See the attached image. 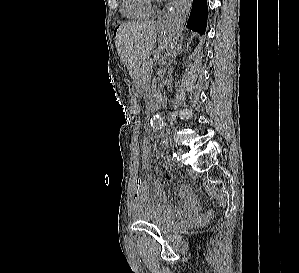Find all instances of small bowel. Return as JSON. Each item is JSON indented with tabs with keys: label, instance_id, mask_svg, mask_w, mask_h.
I'll use <instances>...</instances> for the list:
<instances>
[{
	"label": "small bowel",
	"instance_id": "1",
	"mask_svg": "<svg viewBox=\"0 0 299 273\" xmlns=\"http://www.w3.org/2000/svg\"><path fill=\"white\" fill-rule=\"evenodd\" d=\"M149 163V148L142 149L141 166L147 167ZM165 177L171 180V176L166 174ZM155 198L150 195L149 188L146 182L138 181L136 193L134 197L135 210L138 211L144 208H153L158 214L166 219L174 220L176 217L184 220H192L197 216L198 205L189 188L180 185L177 188V193L181 199V206L173 209L167 204V194L163 183L159 180L154 182Z\"/></svg>",
	"mask_w": 299,
	"mask_h": 273
}]
</instances>
